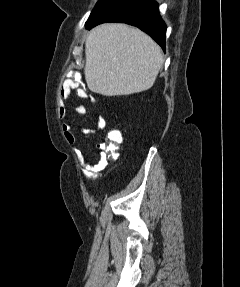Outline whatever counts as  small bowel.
<instances>
[{
	"mask_svg": "<svg viewBox=\"0 0 240 287\" xmlns=\"http://www.w3.org/2000/svg\"><path fill=\"white\" fill-rule=\"evenodd\" d=\"M72 94L81 99H85L88 97L87 92L80 86L79 80L76 76L66 79L60 88L58 108H59V116L61 118H64L66 115V105L68 104ZM74 109L78 114L81 115L87 112V109L83 104L76 105ZM105 126H106L105 118L99 116L94 127L83 128L82 132L84 134H93L104 129ZM63 131L65 138L69 143H74L76 141L75 136L70 132V127L68 124H64ZM97 149L100 154V160H101L100 164L105 165L107 161L105 144L104 143L98 144Z\"/></svg>",
	"mask_w": 240,
	"mask_h": 287,
	"instance_id": "obj_1",
	"label": "small bowel"
}]
</instances>
